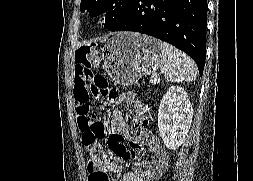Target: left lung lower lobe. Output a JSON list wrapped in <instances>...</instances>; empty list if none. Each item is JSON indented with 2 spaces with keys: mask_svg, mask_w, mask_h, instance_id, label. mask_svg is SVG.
<instances>
[{
  "mask_svg": "<svg viewBox=\"0 0 253 181\" xmlns=\"http://www.w3.org/2000/svg\"><path fill=\"white\" fill-rule=\"evenodd\" d=\"M207 0H133L110 31H134L156 37L187 53L202 76L206 54Z\"/></svg>",
  "mask_w": 253,
  "mask_h": 181,
  "instance_id": "0a47b994",
  "label": "left lung lower lobe"
}]
</instances>
